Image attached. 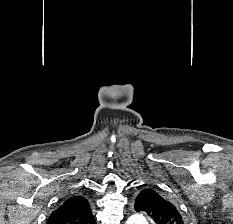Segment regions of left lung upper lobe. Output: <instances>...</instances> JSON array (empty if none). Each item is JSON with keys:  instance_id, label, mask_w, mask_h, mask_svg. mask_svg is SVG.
I'll return each instance as SVG.
<instances>
[{"instance_id": "5c2ea615", "label": "left lung upper lobe", "mask_w": 233, "mask_h": 224, "mask_svg": "<svg viewBox=\"0 0 233 224\" xmlns=\"http://www.w3.org/2000/svg\"><path fill=\"white\" fill-rule=\"evenodd\" d=\"M135 210L146 212L155 224H185L177 205L154 189H145L138 194Z\"/></svg>"}]
</instances>
